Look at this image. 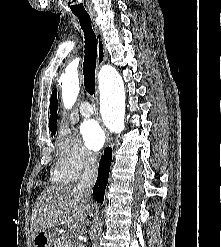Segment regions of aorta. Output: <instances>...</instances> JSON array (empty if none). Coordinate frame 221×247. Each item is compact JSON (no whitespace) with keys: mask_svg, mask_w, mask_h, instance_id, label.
<instances>
[{"mask_svg":"<svg viewBox=\"0 0 221 247\" xmlns=\"http://www.w3.org/2000/svg\"><path fill=\"white\" fill-rule=\"evenodd\" d=\"M60 81L64 107L70 109L79 94V77L77 73L66 72ZM99 82L103 120L110 130L120 133L124 129L126 106L123 80L114 67L106 65L100 71Z\"/></svg>","mask_w":221,"mask_h":247,"instance_id":"aorta-1","label":"aorta"}]
</instances>
